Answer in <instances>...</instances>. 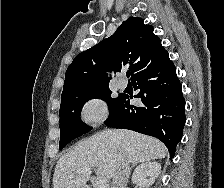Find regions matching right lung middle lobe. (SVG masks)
<instances>
[{
  "label": "right lung middle lobe",
  "instance_id": "right-lung-middle-lobe-1",
  "mask_svg": "<svg viewBox=\"0 0 224 188\" xmlns=\"http://www.w3.org/2000/svg\"><path fill=\"white\" fill-rule=\"evenodd\" d=\"M111 93L108 85L62 93L60 105V149L73 139L92 129V127L84 124L80 118L82 107L88 100L92 98L103 99L108 103L110 112L119 104L123 94H120L117 98H112Z\"/></svg>",
  "mask_w": 224,
  "mask_h": 188
}]
</instances>
